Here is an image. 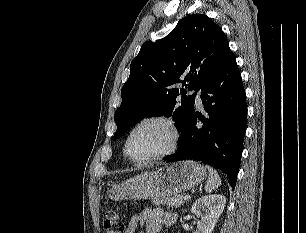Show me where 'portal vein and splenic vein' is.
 <instances>
[{"mask_svg": "<svg viewBox=\"0 0 306 233\" xmlns=\"http://www.w3.org/2000/svg\"><path fill=\"white\" fill-rule=\"evenodd\" d=\"M184 199H185V200H190V199H191V195H186V196H184Z\"/></svg>", "mask_w": 306, "mask_h": 233, "instance_id": "1", "label": "portal vein and splenic vein"}]
</instances>
